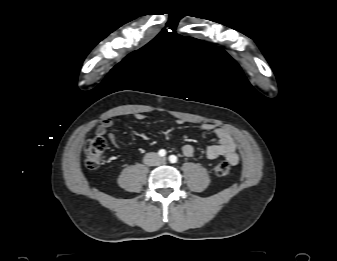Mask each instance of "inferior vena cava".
Returning <instances> with one entry per match:
<instances>
[{
  "instance_id": "obj_1",
  "label": "inferior vena cava",
  "mask_w": 337,
  "mask_h": 261,
  "mask_svg": "<svg viewBox=\"0 0 337 261\" xmlns=\"http://www.w3.org/2000/svg\"><path fill=\"white\" fill-rule=\"evenodd\" d=\"M144 163L149 166L160 165L163 163V158L159 157L156 153H147L144 157Z\"/></svg>"
}]
</instances>
